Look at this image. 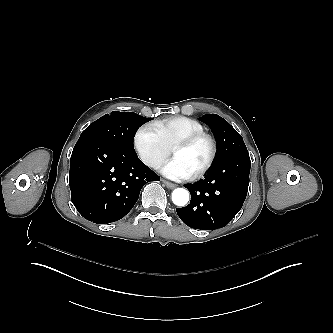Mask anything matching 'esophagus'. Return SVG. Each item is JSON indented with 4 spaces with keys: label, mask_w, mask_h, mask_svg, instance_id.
Instances as JSON below:
<instances>
[{
    "label": "esophagus",
    "mask_w": 333,
    "mask_h": 333,
    "mask_svg": "<svg viewBox=\"0 0 333 333\" xmlns=\"http://www.w3.org/2000/svg\"><path fill=\"white\" fill-rule=\"evenodd\" d=\"M162 182L167 186V188L173 189V188L177 187V184L169 182L165 179H162Z\"/></svg>",
    "instance_id": "1"
}]
</instances>
